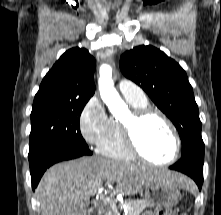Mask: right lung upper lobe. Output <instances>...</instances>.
Masks as SVG:
<instances>
[{
	"label": "right lung upper lobe",
	"instance_id": "right-lung-upper-lobe-1",
	"mask_svg": "<svg viewBox=\"0 0 221 215\" xmlns=\"http://www.w3.org/2000/svg\"><path fill=\"white\" fill-rule=\"evenodd\" d=\"M95 59L84 48L66 51L46 74L33 104L88 102L95 92Z\"/></svg>",
	"mask_w": 221,
	"mask_h": 215
}]
</instances>
